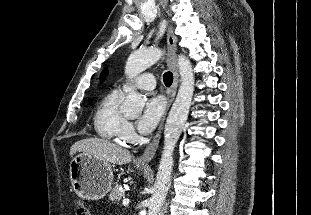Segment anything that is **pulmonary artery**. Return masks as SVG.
I'll return each instance as SVG.
<instances>
[{
  "label": "pulmonary artery",
  "instance_id": "e3ab8cb5",
  "mask_svg": "<svg viewBox=\"0 0 311 215\" xmlns=\"http://www.w3.org/2000/svg\"><path fill=\"white\" fill-rule=\"evenodd\" d=\"M132 86L143 90H152L156 86V80L152 74L144 73L132 82ZM129 87V84H123L122 89L127 91Z\"/></svg>",
  "mask_w": 311,
  "mask_h": 215
}]
</instances>
